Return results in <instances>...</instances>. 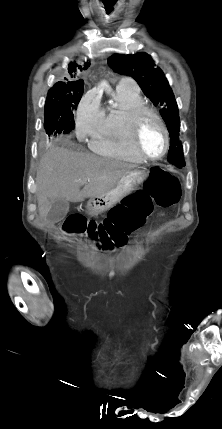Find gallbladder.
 Returning <instances> with one entry per match:
<instances>
[{
    "mask_svg": "<svg viewBox=\"0 0 222 429\" xmlns=\"http://www.w3.org/2000/svg\"><path fill=\"white\" fill-rule=\"evenodd\" d=\"M69 211V202L66 199L56 200L48 213V219L51 222L62 221Z\"/></svg>",
    "mask_w": 222,
    "mask_h": 429,
    "instance_id": "bac80fb5",
    "label": "gallbladder"
}]
</instances>
